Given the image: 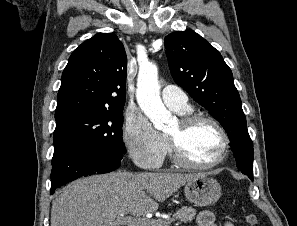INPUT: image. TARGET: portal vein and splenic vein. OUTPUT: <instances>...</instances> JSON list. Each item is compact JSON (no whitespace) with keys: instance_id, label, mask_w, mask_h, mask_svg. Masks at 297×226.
<instances>
[{"instance_id":"obj_1","label":"portal vein and splenic vein","mask_w":297,"mask_h":226,"mask_svg":"<svg viewBox=\"0 0 297 226\" xmlns=\"http://www.w3.org/2000/svg\"><path fill=\"white\" fill-rule=\"evenodd\" d=\"M117 223L121 224H127L129 226H151V224L154 223V220L147 219V218H142L138 216L134 217H124V215H120L117 218Z\"/></svg>"}]
</instances>
